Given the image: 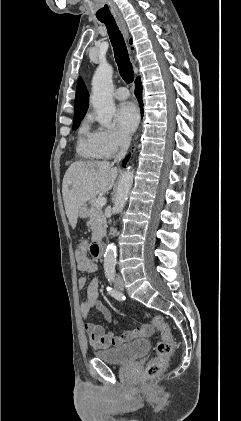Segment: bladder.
I'll return each mask as SVG.
<instances>
[{"label": "bladder", "mask_w": 241, "mask_h": 421, "mask_svg": "<svg viewBox=\"0 0 241 421\" xmlns=\"http://www.w3.org/2000/svg\"><path fill=\"white\" fill-rule=\"evenodd\" d=\"M149 349L150 342L140 339L119 348L96 351L95 356L108 364L126 365L146 354Z\"/></svg>", "instance_id": "obj_1"}]
</instances>
